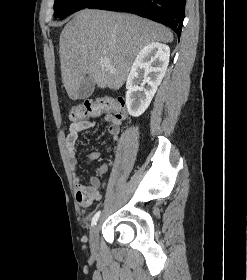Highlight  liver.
<instances>
[{
    "instance_id": "obj_1",
    "label": "liver",
    "mask_w": 247,
    "mask_h": 280,
    "mask_svg": "<svg viewBox=\"0 0 247 280\" xmlns=\"http://www.w3.org/2000/svg\"><path fill=\"white\" fill-rule=\"evenodd\" d=\"M170 43L172 32L136 15L84 9L63 28L59 39L62 82L69 97L90 77L99 88L118 90L134 58L153 42ZM108 64L101 66L100 61Z\"/></svg>"
}]
</instances>
